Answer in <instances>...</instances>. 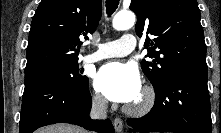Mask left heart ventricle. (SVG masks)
Here are the masks:
<instances>
[{"label": "left heart ventricle", "instance_id": "b2bd125f", "mask_svg": "<svg viewBox=\"0 0 221 133\" xmlns=\"http://www.w3.org/2000/svg\"><path fill=\"white\" fill-rule=\"evenodd\" d=\"M140 96H141V95H140ZM140 96L135 100V102L139 100Z\"/></svg>", "mask_w": 221, "mask_h": 133}]
</instances>
